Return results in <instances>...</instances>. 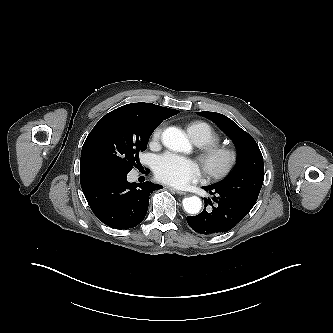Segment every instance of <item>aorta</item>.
<instances>
[{
    "label": "aorta",
    "instance_id": "aorta-1",
    "mask_svg": "<svg viewBox=\"0 0 333 333\" xmlns=\"http://www.w3.org/2000/svg\"><path fill=\"white\" fill-rule=\"evenodd\" d=\"M162 142L164 146L172 151L188 152L191 149L189 140L185 133L176 127H168L163 131ZM202 207V201L197 196L183 199V208L189 214H197Z\"/></svg>",
    "mask_w": 333,
    "mask_h": 333
}]
</instances>
